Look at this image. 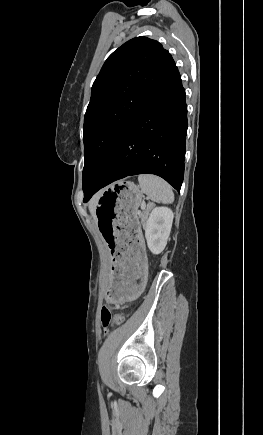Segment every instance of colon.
Wrapping results in <instances>:
<instances>
[{
    "mask_svg": "<svg viewBox=\"0 0 263 435\" xmlns=\"http://www.w3.org/2000/svg\"><path fill=\"white\" fill-rule=\"evenodd\" d=\"M112 322L117 324L122 322V317L114 311L110 306H104L101 310V323L104 328H107Z\"/></svg>",
    "mask_w": 263,
    "mask_h": 435,
    "instance_id": "obj_1",
    "label": "colon"
}]
</instances>
